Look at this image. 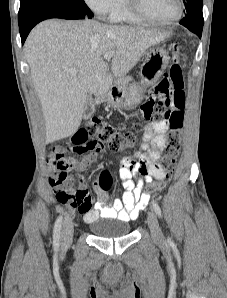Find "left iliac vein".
Instances as JSON below:
<instances>
[{"label":"left iliac vein","instance_id":"1","mask_svg":"<svg viewBox=\"0 0 227 298\" xmlns=\"http://www.w3.org/2000/svg\"><path fill=\"white\" fill-rule=\"evenodd\" d=\"M147 222H148V226L150 228L153 240L156 243H163L164 242V236H163V233H162L161 228L159 226L157 216L154 212L151 211V212L148 213Z\"/></svg>","mask_w":227,"mask_h":298}]
</instances>
